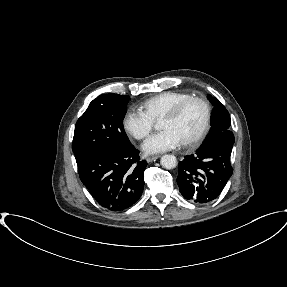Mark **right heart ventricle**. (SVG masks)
Returning <instances> with one entry per match:
<instances>
[{
	"mask_svg": "<svg viewBox=\"0 0 287 287\" xmlns=\"http://www.w3.org/2000/svg\"><path fill=\"white\" fill-rule=\"evenodd\" d=\"M188 96L183 92L165 91L147 98L142 102L141 107L153 120H158L176 103Z\"/></svg>",
	"mask_w": 287,
	"mask_h": 287,
	"instance_id": "obj_1",
	"label": "right heart ventricle"
}]
</instances>
